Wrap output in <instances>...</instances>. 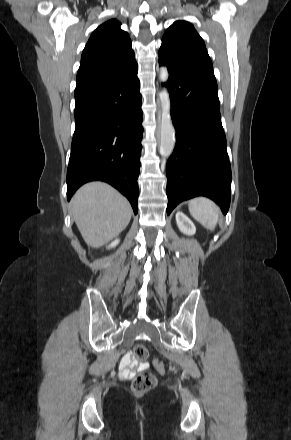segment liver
Masks as SVG:
<instances>
[{"label":"liver","instance_id":"liver-1","mask_svg":"<svg viewBox=\"0 0 291 440\" xmlns=\"http://www.w3.org/2000/svg\"><path fill=\"white\" fill-rule=\"evenodd\" d=\"M72 214L86 244L99 248L128 225L132 209L128 200L107 183L91 182L73 196Z\"/></svg>","mask_w":291,"mask_h":440}]
</instances>
